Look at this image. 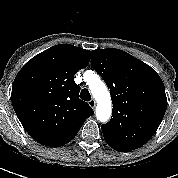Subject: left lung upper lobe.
<instances>
[{
	"mask_svg": "<svg viewBox=\"0 0 178 178\" xmlns=\"http://www.w3.org/2000/svg\"><path fill=\"white\" fill-rule=\"evenodd\" d=\"M92 66L110 89L112 118L101 126L106 143L119 151L140 148L154 135L167 108L157 72L115 48L92 51Z\"/></svg>",
	"mask_w": 178,
	"mask_h": 178,
	"instance_id": "left-lung-upper-lobe-1",
	"label": "left lung upper lobe"
}]
</instances>
